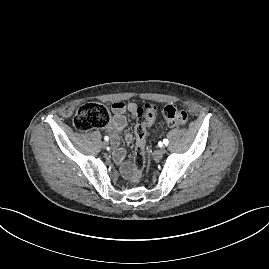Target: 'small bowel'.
<instances>
[{"label": "small bowel", "mask_w": 269, "mask_h": 269, "mask_svg": "<svg viewBox=\"0 0 269 269\" xmlns=\"http://www.w3.org/2000/svg\"><path fill=\"white\" fill-rule=\"evenodd\" d=\"M113 118L108 126V132L111 137L113 147V158L120 165L122 174L127 179H132L134 167L130 162L125 160L126 150L120 147V132L126 127V113H130L133 117L137 116L138 107L135 103L115 102L112 105ZM134 138L131 134L125 135V142L130 145Z\"/></svg>", "instance_id": "c3829d8e"}]
</instances>
